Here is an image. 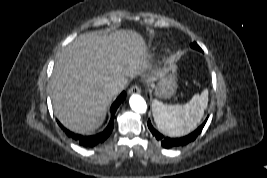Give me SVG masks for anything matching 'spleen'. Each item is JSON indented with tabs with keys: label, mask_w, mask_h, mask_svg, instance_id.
Returning <instances> with one entry per match:
<instances>
[{
	"label": "spleen",
	"mask_w": 267,
	"mask_h": 178,
	"mask_svg": "<svg viewBox=\"0 0 267 178\" xmlns=\"http://www.w3.org/2000/svg\"><path fill=\"white\" fill-rule=\"evenodd\" d=\"M208 89L196 94L184 105H166L157 99L152 111L157 128L165 135L179 137L197 128L208 105Z\"/></svg>",
	"instance_id": "obj_1"
}]
</instances>
